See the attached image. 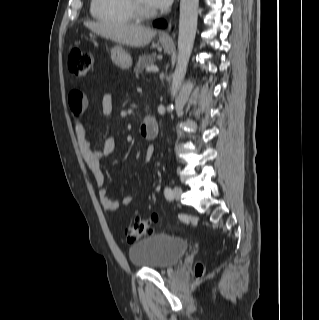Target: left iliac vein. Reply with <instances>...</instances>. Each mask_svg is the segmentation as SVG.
<instances>
[{
    "label": "left iliac vein",
    "instance_id": "left-iliac-vein-1",
    "mask_svg": "<svg viewBox=\"0 0 319 320\" xmlns=\"http://www.w3.org/2000/svg\"><path fill=\"white\" fill-rule=\"evenodd\" d=\"M183 191L180 187H175L173 189V197L176 199V200H179L181 198V195H182Z\"/></svg>",
    "mask_w": 319,
    "mask_h": 320
}]
</instances>
